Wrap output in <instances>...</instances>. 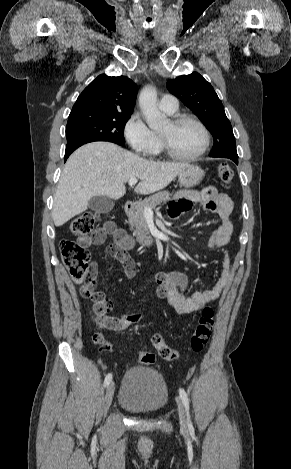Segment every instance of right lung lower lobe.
I'll list each match as a JSON object with an SVG mask.
<instances>
[{
    "label": "right lung lower lobe",
    "mask_w": 291,
    "mask_h": 469,
    "mask_svg": "<svg viewBox=\"0 0 291 469\" xmlns=\"http://www.w3.org/2000/svg\"><path fill=\"white\" fill-rule=\"evenodd\" d=\"M92 141H98V140L75 141V142L67 143L66 151H65V161L67 160V158L70 156V154H71L75 149H77L78 147H80V146L83 145V144H86V143H89V142H92Z\"/></svg>",
    "instance_id": "right-lung-lower-lobe-1"
}]
</instances>
